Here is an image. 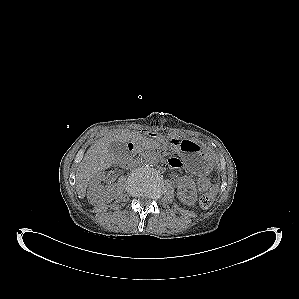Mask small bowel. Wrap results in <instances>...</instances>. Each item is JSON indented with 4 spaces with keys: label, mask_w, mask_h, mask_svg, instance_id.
Returning a JSON list of instances; mask_svg holds the SVG:
<instances>
[{
    "label": "small bowel",
    "mask_w": 299,
    "mask_h": 299,
    "mask_svg": "<svg viewBox=\"0 0 299 299\" xmlns=\"http://www.w3.org/2000/svg\"><path fill=\"white\" fill-rule=\"evenodd\" d=\"M170 165L172 167L177 168V167H180L181 163H180V161L178 159H171L170 160Z\"/></svg>",
    "instance_id": "c3829d8e"
}]
</instances>
